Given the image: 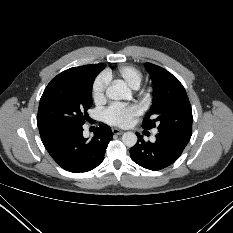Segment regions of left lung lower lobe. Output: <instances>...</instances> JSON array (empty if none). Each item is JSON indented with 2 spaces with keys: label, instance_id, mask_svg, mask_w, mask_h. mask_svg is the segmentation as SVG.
I'll list each match as a JSON object with an SVG mask.
<instances>
[{
  "label": "left lung lower lobe",
  "instance_id": "left-lung-lower-lobe-1",
  "mask_svg": "<svg viewBox=\"0 0 233 233\" xmlns=\"http://www.w3.org/2000/svg\"><path fill=\"white\" fill-rule=\"evenodd\" d=\"M138 139L130 149L131 159L146 169L158 171L170 166L180 157L190 136L159 132L154 143L145 142L140 135Z\"/></svg>",
  "mask_w": 233,
  "mask_h": 233
}]
</instances>
